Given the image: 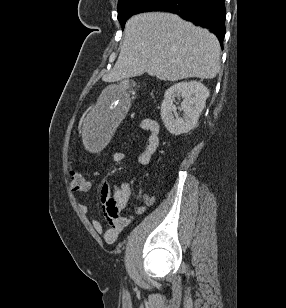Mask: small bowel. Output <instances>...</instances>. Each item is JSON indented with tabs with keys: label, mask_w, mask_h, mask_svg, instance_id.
I'll return each mask as SVG.
<instances>
[{
	"label": "small bowel",
	"mask_w": 286,
	"mask_h": 308,
	"mask_svg": "<svg viewBox=\"0 0 286 308\" xmlns=\"http://www.w3.org/2000/svg\"><path fill=\"white\" fill-rule=\"evenodd\" d=\"M139 129L149 134L146 142V147L138 156V163L147 165L154 152L157 150L159 140V125L151 118H144L139 122ZM124 156L122 150H117L114 153V158L119 160ZM131 195V188L126 182H119L111 185L109 182H104L100 188V202L103 207L104 216L108 221V227L104 228L103 224L98 220H92L93 228L103 235L107 243H114L121 230L131 221V216H123L121 211L125 208L127 201ZM138 198L142 201L136 206L135 213L141 215L145 212L146 207L153 204L154 197L150 194L139 192ZM82 212L88 213L89 209L84 204H79Z\"/></svg>",
	"instance_id": "obj_1"
}]
</instances>
